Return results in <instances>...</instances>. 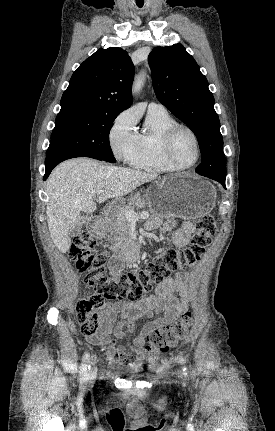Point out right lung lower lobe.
<instances>
[{"mask_svg": "<svg viewBox=\"0 0 275 431\" xmlns=\"http://www.w3.org/2000/svg\"><path fill=\"white\" fill-rule=\"evenodd\" d=\"M75 157H90V158H94V159H98V160H103L102 158L92 155V154H88V153H66L63 155H58V156H53V157H49L46 158L45 161V167H46V171H45V175H44V180L49 176L50 172L52 171V169L59 164L60 162L70 159V158H75Z\"/></svg>", "mask_w": 275, "mask_h": 431, "instance_id": "98d812e1", "label": "right lung lower lobe"}]
</instances>
